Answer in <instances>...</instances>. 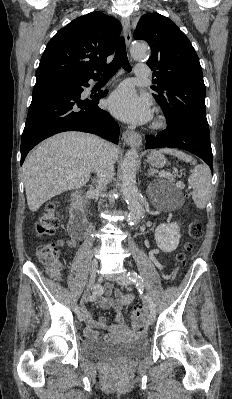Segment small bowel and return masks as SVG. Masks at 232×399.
Wrapping results in <instances>:
<instances>
[{
	"mask_svg": "<svg viewBox=\"0 0 232 399\" xmlns=\"http://www.w3.org/2000/svg\"><path fill=\"white\" fill-rule=\"evenodd\" d=\"M70 246H74V243H69ZM108 293H114L116 296V302L113 303L110 297H106L100 300L101 308H108L110 305H114L115 313H116V322L115 323H107L105 317L102 315L94 318L92 314L89 312L87 307L80 306L79 311L82 316L85 318V323L82 325V330L86 334L87 342L90 345H95L98 339V329L105 330V337L112 339L117 335L126 334L131 332V327L122 322V309L125 305L131 303L132 297L131 295H123L121 291L114 289L111 284H108L107 287Z\"/></svg>",
	"mask_w": 232,
	"mask_h": 399,
	"instance_id": "c3829d8e",
	"label": "small bowel"
}]
</instances>
